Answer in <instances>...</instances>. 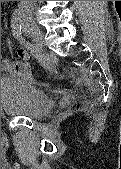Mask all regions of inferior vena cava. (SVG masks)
Returning <instances> with one entry per match:
<instances>
[{"instance_id": "1", "label": "inferior vena cava", "mask_w": 121, "mask_h": 169, "mask_svg": "<svg viewBox=\"0 0 121 169\" xmlns=\"http://www.w3.org/2000/svg\"><path fill=\"white\" fill-rule=\"evenodd\" d=\"M26 3H29V4H33L35 1H24Z\"/></svg>"}]
</instances>
